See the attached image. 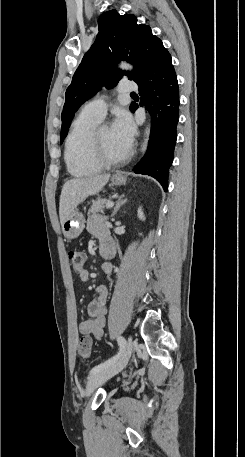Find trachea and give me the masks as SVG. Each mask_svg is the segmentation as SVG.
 <instances>
[{
  "label": "trachea",
  "instance_id": "3493384b",
  "mask_svg": "<svg viewBox=\"0 0 245 457\" xmlns=\"http://www.w3.org/2000/svg\"><path fill=\"white\" fill-rule=\"evenodd\" d=\"M131 95H136L135 92H131Z\"/></svg>",
  "mask_w": 245,
  "mask_h": 457
}]
</instances>
